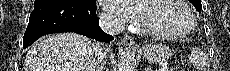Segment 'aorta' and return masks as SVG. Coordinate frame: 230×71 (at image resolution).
<instances>
[{"instance_id": "obj_1", "label": "aorta", "mask_w": 230, "mask_h": 71, "mask_svg": "<svg viewBox=\"0 0 230 71\" xmlns=\"http://www.w3.org/2000/svg\"><path fill=\"white\" fill-rule=\"evenodd\" d=\"M137 64L138 62L135 52L127 50L120 59L118 71H135Z\"/></svg>"}]
</instances>
